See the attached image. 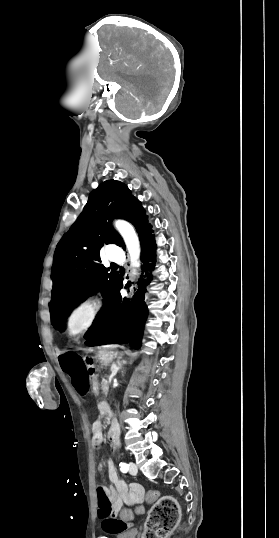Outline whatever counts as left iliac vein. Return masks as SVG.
<instances>
[{
  "mask_svg": "<svg viewBox=\"0 0 279 538\" xmlns=\"http://www.w3.org/2000/svg\"><path fill=\"white\" fill-rule=\"evenodd\" d=\"M137 466L135 465V463L133 462H130L129 463V473L132 474V475H136L137 474Z\"/></svg>",
  "mask_w": 279,
  "mask_h": 538,
  "instance_id": "obj_1",
  "label": "left iliac vein"
}]
</instances>
